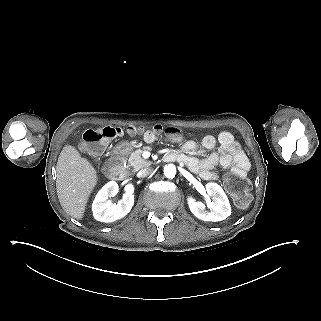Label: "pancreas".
<instances>
[{
	"label": "pancreas",
	"mask_w": 321,
	"mask_h": 321,
	"mask_svg": "<svg viewBox=\"0 0 321 321\" xmlns=\"http://www.w3.org/2000/svg\"><path fill=\"white\" fill-rule=\"evenodd\" d=\"M143 150L137 149L134 152H132L128 159V166L132 167L134 171H138L141 168H146L152 164L151 161H148L141 157Z\"/></svg>",
	"instance_id": "pancreas-1"
}]
</instances>
